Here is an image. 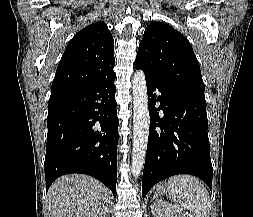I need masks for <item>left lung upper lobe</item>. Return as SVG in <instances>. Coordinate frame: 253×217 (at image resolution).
Segmentation results:
<instances>
[{
    "label": "left lung upper lobe",
    "instance_id": "5c2ea615",
    "mask_svg": "<svg viewBox=\"0 0 253 217\" xmlns=\"http://www.w3.org/2000/svg\"><path fill=\"white\" fill-rule=\"evenodd\" d=\"M135 62L162 84L205 100L204 83L193 49L187 38L171 26L150 23Z\"/></svg>",
    "mask_w": 253,
    "mask_h": 217
}]
</instances>
